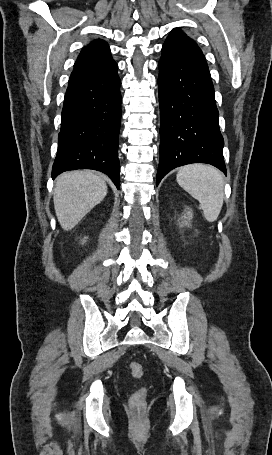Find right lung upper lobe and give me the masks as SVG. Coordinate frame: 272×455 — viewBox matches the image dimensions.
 <instances>
[{"mask_svg":"<svg viewBox=\"0 0 272 455\" xmlns=\"http://www.w3.org/2000/svg\"><path fill=\"white\" fill-rule=\"evenodd\" d=\"M117 69L118 65L111 57L108 44L101 39L94 40L80 52L68 86L108 75Z\"/></svg>","mask_w":272,"mask_h":455,"instance_id":"obj_1","label":"right lung upper lobe"}]
</instances>
